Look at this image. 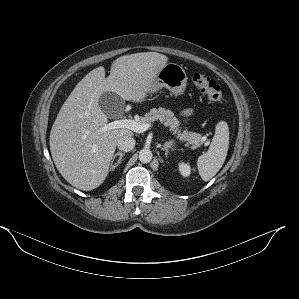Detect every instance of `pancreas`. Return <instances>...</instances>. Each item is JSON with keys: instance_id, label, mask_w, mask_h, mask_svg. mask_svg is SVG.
I'll return each mask as SVG.
<instances>
[{"instance_id": "obj_1", "label": "pancreas", "mask_w": 299, "mask_h": 299, "mask_svg": "<svg viewBox=\"0 0 299 299\" xmlns=\"http://www.w3.org/2000/svg\"><path fill=\"white\" fill-rule=\"evenodd\" d=\"M159 120L164 124L165 127H169V130L176 136V138L181 142H187V145H191V148L195 149L201 146L205 138L201 134L181 131L179 128L180 121L174 116V113L165 108H152L149 113H146L144 117H141L139 122L147 124L153 121Z\"/></svg>"}]
</instances>
